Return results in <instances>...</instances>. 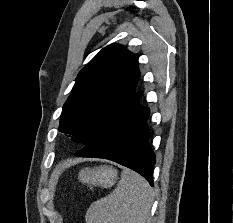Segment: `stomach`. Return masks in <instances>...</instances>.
<instances>
[{"label": "stomach", "mask_w": 233, "mask_h": 223, "mask_svg": "<svg viewBox=\"0 0 233 223\" xmlns=\"http://www.w3.org/2000/svg\"><path fill=\"white\" fill-rule=\"evenodd\" d=\"M79 181L87 185H100V187H112L118 179V171L108 165L100 167H85L78 173Z\"/></svg>", "instance_id": "obj_1"}]
</instances>
